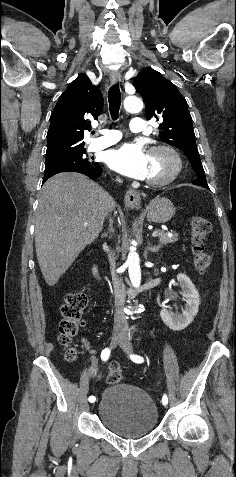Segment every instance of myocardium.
<instances>
[{"instance_id": "f54148a6", "label": "myocardium", "mask_w": 236, "mask_h": 477, "mask_svg": "<svg viewBox=\"0 0 236 477\" xmlns=\"http://www.w3.org/2000/svg\"><path fill=\"white\" fill-rule=\"evenodd\" d=\"M164 153L172 163L171 171L165 175L164 177L158 179H149L147 178L146 183L150 186L160 187L165 186L172 181H174L183 169V161L179 155V153L171 146L165 144L154 145L149 149V154L155 153Z\"/></svg>"}]
</instances>
